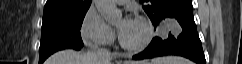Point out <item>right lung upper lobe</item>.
Listing matches in <instances>:
<instances>
[{"mask_svg":"<svg viewBox=\"0 0 242 64\" xmlns=\"http://www.w3.org/2000/svg\"><path fill=\"white\" fill-rule=\"evenodd\" d=\"M92 0H47L44 13L80 12L88 10Z\"/></svg>","mask_w":242,"mask_h":64,"instance_id":"1","label":"right lung upper lobe"}]
</instances>
